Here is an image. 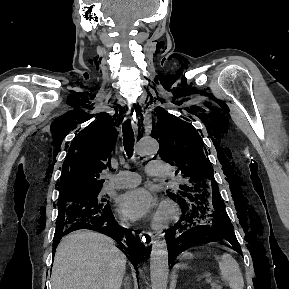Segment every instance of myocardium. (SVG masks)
I'll list each match as a JSON object with an SVG mask.
<instances>
[{
    "label": "myocardium",
    "mask_w": 289,
    "mask_h": 289,
    "mask_svg": "<svg viewBox=\"0 0 289 289\" xmlns=\"http://www.w3.org/2000/svg\"><path fill=\"white\" fill-rule=\"evenodd\" d=\"M180 216V210L173 202H164L158 213L156 214L152 225L155 229L167 227L168 225L176 222Z\"/></svg>",
    "instance_id": "myocardium-1"
}]
</instances>
